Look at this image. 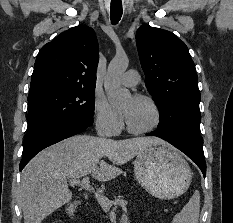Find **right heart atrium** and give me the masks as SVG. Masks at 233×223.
<instances>
[{"label":"right heart atrium","mask_w":233,"mask_h":223,"mask_svg":"<svg viewBox=\"0 0 233 223\" xmlns=\"http://www.w3.org/2000/svg\"><path fill=\"white\" fill-rule=\"evenodd\" d=\"M96 128L108 135H116L121 131L122 120L118 112L103 98L94 102Z\"/></svg>","instance_id":"1"}]
</instances>
